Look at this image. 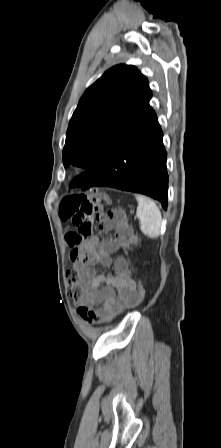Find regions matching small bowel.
Here are the masks:
<instances>
[{"instance_id":"c3829d8e","label":"small bowel","mask_w":221,"mask_h":448,"mask_svg":"<svg viewBox=\"0 0 221 448\" xmlns=\"http://www.w3.org/2000/svg\"><path fill=\"white\" fill-rule=\"evenodd\" d=\"M106 229H112L114 236L103 241L96 238L81 239L77 231H68L64 235L65 243L70 247L69 257L73 267L85 279L83 294L78 304L92 309L98 322L115 317L136 301V284L131 276L127 260L111 258V253L129 247L138 241V237L126 226L107 227L109 215L100 216ZM96 249V252L93 253ZM92 255L90 262L84 257ZM100 264L108 268L113 266L115 275H95L91 266Z\"/></svg>"}]
</instances>
